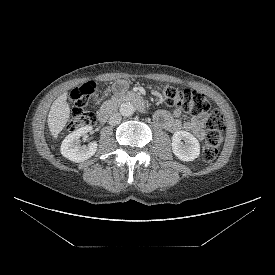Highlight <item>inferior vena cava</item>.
I'll return each instance as SVG.
<instances>
[{
    "label": "inferior vena cava",
    "mask_w": 275,
    "mask_h": 275,
    "mask_svg": "<svg viewBox=\"0 0 275 275\" xmlns=\"http://www.w3.org/2000/svg\"><path fill=\"white\" fill-rule=\"evenodd\" d=\"M121 115L118 112H114L113 114L110 115L109 117V124L110 125H116L121 122Z\"/></svg>",
    "instance_id": "1"
}]
</instances>
